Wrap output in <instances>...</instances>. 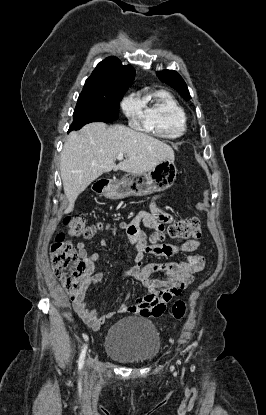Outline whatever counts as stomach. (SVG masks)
Returning a JSON list of instances; mask_svg holds the SVG:
<instances>
[{
    "label": "stomach",
    "instance_id": "1",
    "mask_svg": "<svg viewBox=\"0 0 266 415\" xmlns=\"http://www.w3.org/2000/svg\"><path fill=\"white\" fill-rule=\"evenodd\" d=\"M176 175L174 161L164 160L147 174H128L118 182H109L101 193L110 200L146 196L170 188L176 180Z\"/></svg>",
    "mask_w": 266,
    "mask_h": 415
}]
</instances>
